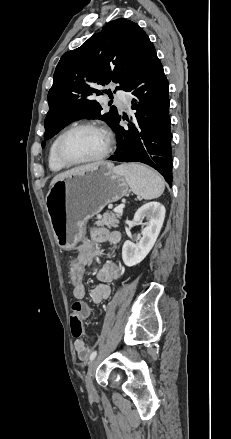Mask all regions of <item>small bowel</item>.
<instances>
[{"mask_svg":"<svg viewBox=\"0 0 231 439\" xmlns=\"http://www.w3.org/2000/svg\"><path fill=\"white\" fill-rule=\"evenodd\" d=\"M121 234L117 231H109L105 228H96L92 231L89 240L83 241L78 248V254L75 259L87 267L99 255V245L105 242L110 243L114 249H117L121 243ZM122 268L115 260H107L97 272V283L90 291V298L93 303L99 304L110 297V284L121 278ZM71 278V276H70ZM89 286L88 283H75L73 296L77 300L72 306L73 312H77L81 318H87L92 312V308L82 301L87 297ZM74 348L78 358L85 361L90 352L91 346L84 339H76Z\"/></svg>","mask_w":231,"mask_h":439,"instance_id":"small-bowel-1","label":"small bowel"}]
</instances>
